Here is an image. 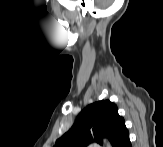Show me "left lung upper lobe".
Here are the masks:
<instances>
[{
    "instance_id": "left-lung-upper-lobe-1",
    "label": "left lung upper lobe",
    "mask_w": 163,
    "mask_h": 147,
    "mask_svg": "<svg viewBox=\"0 0 163 147\" xmlns=\"http://www.w3.org/2000/svg\"><path fill=\"white\" fill-rule=\"evenodd\" d=\"M125 128V121L119 116L117 106L109 100H101L84 108L71 129L56 141L54 147L102 144V136L107 137L114 146Z\"/></svg>"
}]
</instances>
